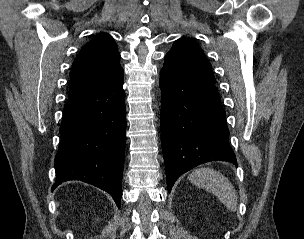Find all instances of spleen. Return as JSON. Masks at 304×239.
<instances>
[{"mask_svg":"<svg viewBox=\"0 0 304 239\" xmlns=\"http://www.w3.org/2000/svg\"><path fill=\"white\" fill-rule=\"evenodd\" d=\"M188 179L195 186L215 195L229 211L237 210V193L228 178L220 172L211 168H199Z\"/></svg>","mask_w":304,"mask_h":239,"instance_id":"3e777b00","label":"spleen"}]
</instances>
